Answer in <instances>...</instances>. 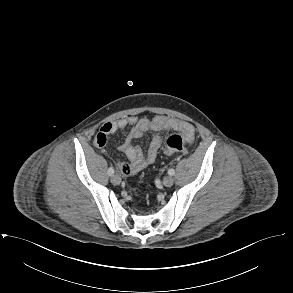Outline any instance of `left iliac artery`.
Segmentation results:
<instances>
[{
  "instance_id": "left-iliac-artery-1",
  "label": "left iliac artery",
  "mask_w": 293,
  "mask_h": 293,
  "mask_svg": "<svg viewBox=\"0 0 293 293\" xmlns=\"http://www.w3.org/2000/svg\"><path fill=\"white\" fill-rule=\"evenodd\" d=\"M168 174H169L170 176H173V175L175 174L174 169H169V170H168Z\"/></svg>"
}]
</instances>
